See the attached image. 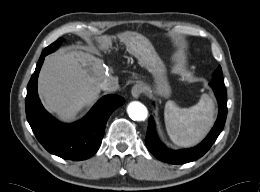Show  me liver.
<instances>
[{"label": "liver", "instance_id": "1", "mask_svg": "<svg viewBox=\"0 0 260 192\" xmlns=\"http://www.w3.org/2000/svg\"><path fill=\"white\" fill-rule=\"evenodd\" d=\"M100 50L107 51L111 36L96 38ZM157 73L155 67L148 70ZM101 59L83 51L64 49L45 58L38 78V91L45 107L62 118L76 115L92 103L100 91V84L108 78Z\"/></svg>", "mask_w": 260, "mask_h": 192}]
</instances>
